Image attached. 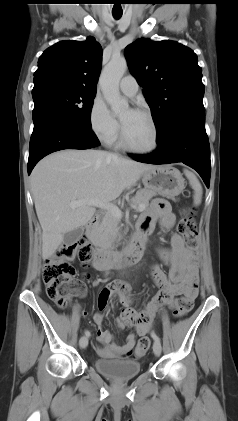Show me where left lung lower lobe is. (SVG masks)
I'll list each match as a JSON object with an SVG mask.
<instances>
[{
	"label": "left lung lower lobe",
	"mask_w": 238,
	"mask_h": 421,
	"mask_svg": "<svg viewBox=\"0 0 238 421\" xmlns=\"http://www.w3.org/2000/svg\"><path fill=\"white\" fill-rule=\"evenodd\" d=\"M158 148L152 154H129L148 164L182 162L195 169L209 187L211 164L210 147L205 130V112L185 115L168 131L157 138Z\"/></svg>",
	"instance_id": "left-lung-lower-lobe-1"
}]
</instances>
